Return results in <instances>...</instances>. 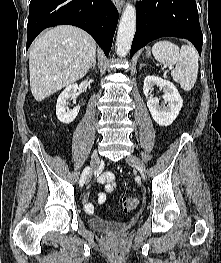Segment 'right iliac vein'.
Listing matches in <instances>:
<instances>
[{"label":"right iliac vein","instance_id":"1","mask_svg":"<svg viewBox=\"0 0 221 263\" xmlns=\"http://www.w3.org/2000/svg\"><path fill=\"white\" fill-rule=\"evenodd\" d=\"M99 163H100L99 155L98 152L95 150L91 156L90 172L86 180L87 183L91 180L92 174L97 170Z\"/></svg>","mask_w":221,"mask_h":263}]
</instances>
